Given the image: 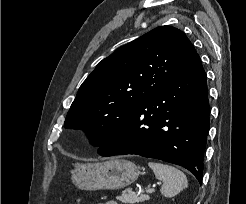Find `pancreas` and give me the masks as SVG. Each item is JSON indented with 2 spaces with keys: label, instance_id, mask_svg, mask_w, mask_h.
I'll list each match as a JSON object with an SVG mask.
<instances>
[{
  "label": "pancreas",
  "instance_id": "1",
  "mask_svg": "<svg viewBox=\"0 0 246 204\" xmlns=\"http://www.w3.org/2000/svg\"><path fill=\"white\" fill-rule=\"evenodd\" d=\"M117 200L125 203V204H135L139 202H144L149 199L148 195H129V193H123L121 196L116 197Z\"/></svg>",
  "mask_w": 246,
  "mask_h": 204
}]
</instances>
